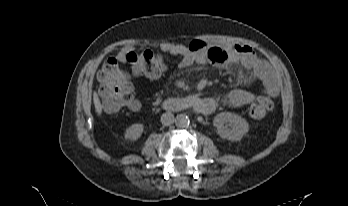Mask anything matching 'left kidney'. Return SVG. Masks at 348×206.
Segmentation results:
<instances>
[{
    "mask_svg": "<svg viewBox=\"0 0 348 206\" xmlns=\"http://www.w3.org/2000/svg\"><path fill=\"white\" fill-rule=\"evenodd\" d=\"M213 125L217 128V134L229 141L241 140L249 130L247 121L231 112L218 114L213 120Z\"/></svg>",
    "mask_w": 348,
    "mask_h": 206,
    "instance_id": "left-kidney-1",
    "label": "left kidney"
}]
</instances>
